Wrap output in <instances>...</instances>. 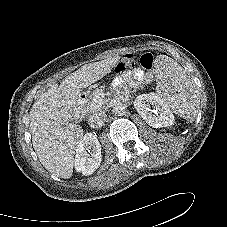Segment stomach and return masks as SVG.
<instances>
[{
    "label": "stomach",
    "instance_id": "0dacf381",
    "mask_svg": "<svg viewBox=\"0 0 227 227\" xmlns=\"http://www.w3.org/2000/svg\"><path fill=\"white\" fill-rule=\"evenodd\" d=\"M87 96H89V93H85Z\"/></svg>",
    "mask_w": 227,
    "mask_h": 227
}]
</instances>
